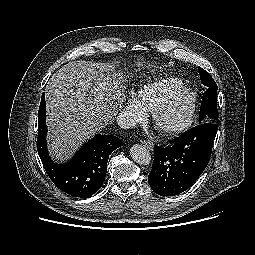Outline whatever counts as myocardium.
Masks as SVG:
<instances>
[{"label": "myocardium", "mask_w": 255, "mask_h": 255, "mask_svg": "<svg viewBox=\"0 0 255 255\" xmlns=\"http://www.w3.org/2000/svg\"><path fill=\"white\" fill-rule=\"evenodd\" d=\"M182 99H187L189 101V110L186 117L175 125L161 126L159 121L162 114L174 103ZM197 101L198 95L196 91L191 88H183L159 103L152 110V120L157 130L164 136H174L188 129L196 115Z\"/></svg>", "instance_id": "obj_1"}]
</instances>
